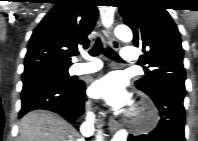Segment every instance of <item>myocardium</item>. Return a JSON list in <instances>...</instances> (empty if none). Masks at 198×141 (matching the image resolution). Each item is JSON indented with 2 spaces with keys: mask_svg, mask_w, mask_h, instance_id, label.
Segmentation results:
<instances>
[{
  "mask_svg": "<svg viewBox=\"0 0 198 141\" xmlns=\"http://www.w3.org/2000/svg\"><path fill=\"white\" fill-rule=\"evenodd\" d=\"M143 117H146L145 120ZM157 119L156 111L149 103H141L131 116V125L137 129L152 127Z\"/></svg>",
  "mask_w": 198,
  "mask_h": 141,
  "instance_id": "1",
  "label": "myocardium"
}]
</instances>
